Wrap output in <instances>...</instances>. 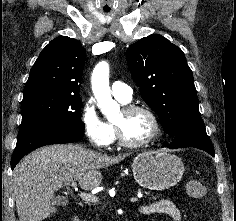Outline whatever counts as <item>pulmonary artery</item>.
Masks as SVG:
<instances>
[{"label":"pulmonary artery","mask_w":236,"mask_h":221,"mask_svg":"<svg viewBox=\"0 0 236 221\" xmlns=\"http://www.w3.org/2000/svg\"><path fill=\"white\" fill-rule=\"evenodd\" d=\"M112 94L117 100L128 103L132 99L133 90L128 84L122 81H115L112 84Z\"/></svg>","instance_id":"e3ab8cb5"}]
</instances>
